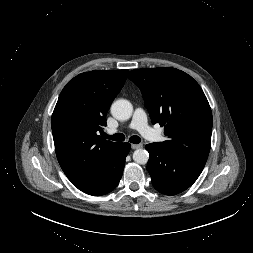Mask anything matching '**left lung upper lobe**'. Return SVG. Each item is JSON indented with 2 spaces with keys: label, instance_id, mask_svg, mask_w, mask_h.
Here are the masks:
<instances>
[{
  "label": "left lung upper lobe",
  "instance_id": "left-lung-upper-lobe-1",
  "mask_svg": "<svg viewBox=\"0 0 253 253\" xmlns=\"http://www.w3.org/2000/svg\"><path fill=\"white\" fill-rule=\"evenodd\" d=\"M128 78L141 90L152 123L165 126L159 146L172 156L203 167L212 133V112L199 84L176 68L132 70Z\"/></svg>",
  "mask_w": 253,
  "mask_h": 253
}]
</instances>
